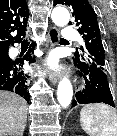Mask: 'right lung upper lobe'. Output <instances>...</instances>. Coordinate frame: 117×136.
<instances>
[{
	"label": "right lung upper lobe",
	"mask_w": 117,
	"mask_h": 136,
	"mask_svg": "<svg viewBox=\"0 0 117 136\" xmlns=\"http://www.w3.org/2000/svg\"><path fill=\"white\" fill-rule=\"evenodd\" d=\"M28 18L26 0H0V54L7 53L10 46L22 40Z\"/></svg>",
	"instance_id": "obj_1"
}]
</instances>
